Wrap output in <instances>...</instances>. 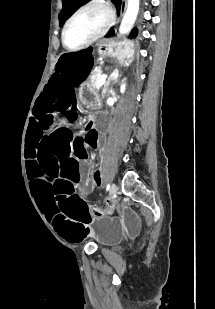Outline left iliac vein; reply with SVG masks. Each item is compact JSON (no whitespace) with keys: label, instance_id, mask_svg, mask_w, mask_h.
Wrapping results in <instances>:
<instances>
[{"label":"left iliac vein","instance_id":"left-iliac-vein-1","mask_svg":"<svg viewBox=\"0 0 215 309\" xmlns=\"http://www.w3.org/2000/svg\"><path fill=\"white\" fill-rule=\"evenodd\" d=\"M118 190V187L116 185V183H112L111 187H110V190H109V195L112 197L116 194Z\"/></svg>","mask_w":215,"mask_h":309}]
</instances>
